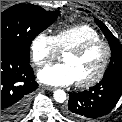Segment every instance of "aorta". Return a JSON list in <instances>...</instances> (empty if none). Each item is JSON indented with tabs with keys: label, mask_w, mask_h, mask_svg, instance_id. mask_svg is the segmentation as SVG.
<instances>
[{
	"label": "aorta",
	"mask_w": 122,
	"mask_h": 122,
	"mask_svg": "<svg viewBox=\"0 0 122 122\" xmlns=\"http://www.w3.org/2000/svg\"><path fill=\"white\" fill-rule=\"evenodd\" d=\"M53 97L56 102L63 103L66 100V93L63 90H56L53 94Z\"/></svg>",
	"instance_id": "762f6f07"
}]
</instances>
